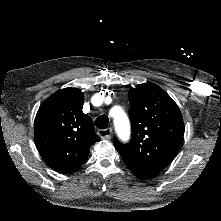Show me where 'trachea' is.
Returning a JSON list of instances; mask_svg holds the SVG:
<instances>
[{
	"instance_id": "3493384b",
	"label": "trachea",
	"mask_w": 221,
	"mask_h": 221,
	"mask_svg": "<svg viewBox=\"0 0 221 221\" xmlns=\"http://www.w3.org/2000/svg\"><path fill=\"white\" fill-rule=\"evenodd\" d=\"M109 119L107 115H100L96 118L94 124L99 129H106L108 127Z\"/></svg>"
}]
</instances>
